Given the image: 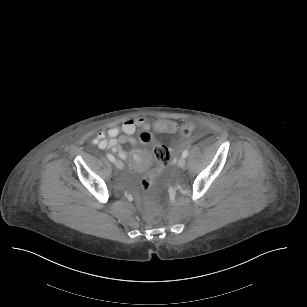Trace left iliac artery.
I'll return each instance as SVG.
<instances>
[{
    "instance_id": "1",
    "label": "left iliac artery",
    "mask_w": 307,
    "mask_h": 307,
    "mask_svg": "<svg viewBox=\"0 0 307 307\" xmlns=\"http://www.w3.org/2000/svg\"><path fill=\"white\" fill-rule=\"evenodd\" d=\"M188 156V150H184L183 152H182V157H187Z\"/></svg>"
}]
</instances>
